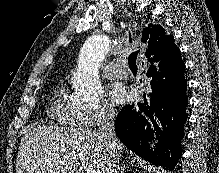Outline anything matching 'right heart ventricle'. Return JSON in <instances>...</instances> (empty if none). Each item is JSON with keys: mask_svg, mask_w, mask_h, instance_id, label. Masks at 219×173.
<instances>
[{"mask_svg": "<svg viewBox=\"0 0 219 173\" xmlns=\"http://www.w3.org/2000/svg\"><path fill=\"white\" fill-rule=\"evenodd\" d=\"M49 116L53 122L64 127H79L81 110L68 96L65 87L57 90L49 109Z\"/></svg>", "mask_w": 219, "mask_h": 173, "instance_id": "right-heart-ventricle-1", "label": "right heart ventricle"}]
</instances>
